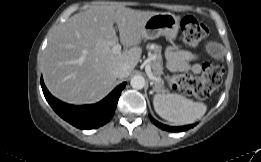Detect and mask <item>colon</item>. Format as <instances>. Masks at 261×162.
Returning <instances> with one entry per match:
<instances>
[{
    "instance_id": "colon-1",
    "label": "colon",
    "mask_w": 261,
    "mask_h": 162,
    "mask_svg": "<svg viewBox=\"0 0 261 162\" xmlns=\"http://www.w3.org/2000/svg\"><path fill=\"white\" fill-rule=\"evenodd\" d=\"M181 31L185 43L197 46L208 35L207 27L192 16H185L181 20ZM224 68L220 65L204 63L200 76L180 74L169 78L170 86L179 92L194 96L198 99L207 98L222 82Z\"/></svg>"
}]
</instances>
